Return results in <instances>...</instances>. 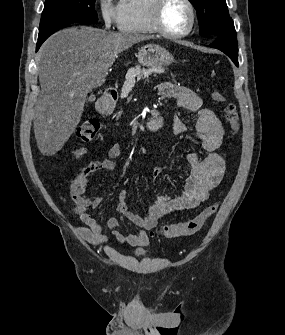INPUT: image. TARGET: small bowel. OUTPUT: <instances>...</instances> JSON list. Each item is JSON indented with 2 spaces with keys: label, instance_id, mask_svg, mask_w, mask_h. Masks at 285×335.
I'll list each match as a JSON object with an SVG mask.
<instances>
[{
  "label": "small bowel",
  "instance_id": "small-bowel-1",
  "mask_svg": "<svg viewBox=\"0 0 285 335\" xmlns=\"http://www.w3.org/2000/svg\"><path fill=\"white\" fill-rule=\"evenodd\" d=\"M160 94L175 100L177 108H183L194 114V136L200 147L205 151L203 157L189 153L187 161L190 174L185 180L184 188L179 196L169 197L160 195L148 207L147 215L142 217L128 209L127 193L122 190L118 194V209L129 221L139 227V231L122 234L118 231L119 221L112 217L105 226L112 231L113 236L121 243L143 248L149 243L147 231L153 229L159 219L175 211L188 210L197 207L205 201L210 193L221 182L225 171V158L220 146L225 134L224 127L215 113L202 106V99L191 88L173 83H162L158 86ZM173 130L178 135H185L189 129L177 115L172 119ZM120 144H113L102 159L92 160L73 178L70 186V196L73 200L72 213L78 218L80 225L77 230L80 236L94 245H104L108 237L102 232L100 223L87 212L88 208H99L103 203L102 197L92 198L85 195V188L91 176L100 171H114L115 159L121 155ZM173 171L172 168H156L153 177L157 178L163 171Z\"/></svg>",
  "mask_w": 285,
  "mask_h": 335
}]
</instances>
